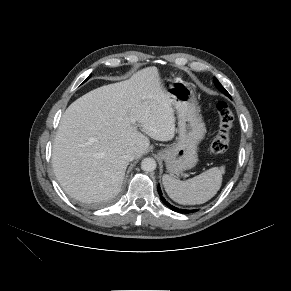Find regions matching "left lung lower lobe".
<instances>
[{"label": "left lung lower lobe", "mask_w": 291, "mask_h": 291, "mask_svg": "<svg viewBox=\"0 0 291 291\" xmlns=\"http://www.w3.org/2000/svg\"><path fill=\"white\" fill-rule=\"evenodd\" d=\"M158 192H159V195H160L161 200L163 201V203H164L166 206H168L170 209H172L173 211H175V212H179V213H185V214H187V213H190V212H196V211H197V209H195V210H186V209H179V208H176V207L170 205V204H169V203L164 199V197L162 196V192H161L160 186H158Z\"/></svg>", "instance_id": "obj_1"}]
</instances>
